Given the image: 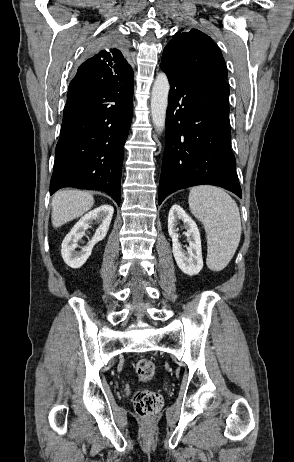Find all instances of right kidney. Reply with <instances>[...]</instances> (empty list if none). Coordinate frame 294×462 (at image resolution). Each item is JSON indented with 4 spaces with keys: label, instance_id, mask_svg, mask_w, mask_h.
Returning <instances> with one entry per match:
<instances>
[{
    "label": "right kidney",
    "instance_id": "1",
    "mask_svg": "<svg viewBox=\"0 0 294 462\" xmlns=\"http://www.w3.org/2000/svg\"><path fill=\"white\" fill-rule=\"evenodd\" d=\"M114 208L104 204L85 214L65 236L61 245V255L64 262L73 269L80 268L91 255L94 245L103 240L108 232ZM99 223L95 234L88 244L77 252L78 242H82L85 232L91 227L92 223Z\"/></svg>",
    "mask_w": 294,
    "mask_h": 462
}]
</instances>
